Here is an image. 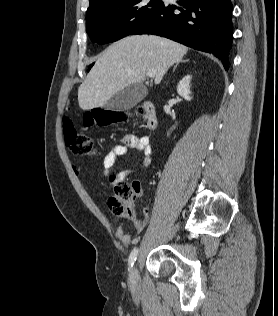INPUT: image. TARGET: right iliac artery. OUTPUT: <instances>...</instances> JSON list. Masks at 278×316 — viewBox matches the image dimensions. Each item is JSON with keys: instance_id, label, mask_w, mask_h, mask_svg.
<instances>
[{"instance_id": "1", "label": "right iliac artery", "mask_w": 278, "mask_h": 316, "mask_svg": "<svg viewBox=\"0 0 278 316\" xmlns=\"http://www.w3.org/2000/svg\"><path fill=\"white\" fill-rule=\"evenodd\" d=\"M137 254H138V249L134 248V250L131 252V254L129 256V260H128L129 266H133L134 262L137 259Z\"/></svg>"}]
</instances>
